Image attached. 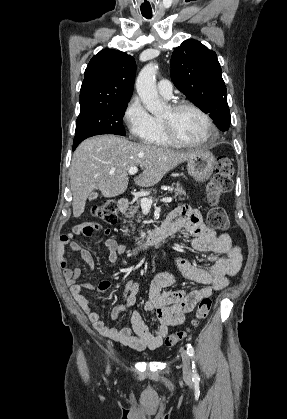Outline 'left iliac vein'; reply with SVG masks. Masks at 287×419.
Segmentation results:
<instances>
[{
  "mask_svg": "<svg viewBox=\"0 0 287 419\" xmlns=\"http://www.w3.org/2000/svg\"><path fill=\"white\" fill-rule=\"evenodd\" d=\"M181 356L183 363V375L185 379L190 380L192 378V369L189 354L186 351H182Z\"/></svg>",
  "mask_w": 287,
  "mask_h": 419,
  "instance_id": "1",
  "label": "left iliac vein"
}]
</instances>
